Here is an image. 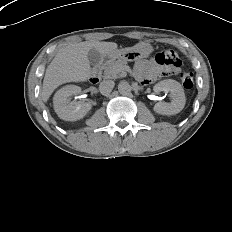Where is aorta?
Segmentation results:
<instances>
[{
  "label": "aorta",
  "instance_id": "1",
  "mask_svg": "<svg viewBox=\"0 0 232 232\" xmlns=\"http://www.w3.org/2000/svg\"><path fill=\"white\" fill-rule=\"evenodd\" d=\"M118 91L120 94H127L131 91V86L126 81H121L118 85Z\"/></svg>",
  "mask_w": 232,
  "mask_h": 232
}]
</instances>
